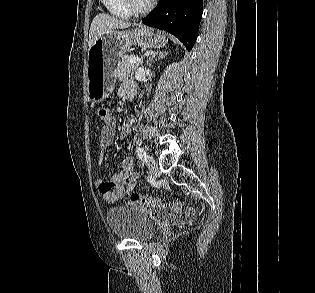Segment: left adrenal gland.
I'll return each mask as SVG.
<instances>
[{"label":"left adrenal gland","mask_w":315,"mask_h":293,"mask_svg":"<svg viewBox=\"0 0 315 293\" xmlns=\"http://www.w3.org/2000/svg\"><path fill=\"white\" fill-rule=\"evenodd\" d=\"M166 55H168V52H159V53L153 54V55L149 58V61L147 62V65H151V63L153 62V60L155 59L156 56H158V59H162V58H164Z\"/></svg>","instance_id":"1"}]
</instances>
